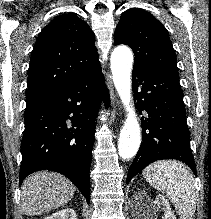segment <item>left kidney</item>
<instances>
[{"label": "left kidney", "instance_id": "1", "mask_svg": "<svg viewBox=\"0 0 211 219\" xmlns=\"http://www.w3.org/2000/svg\"><path fill=\"white\" fill-rule=\"evenodd\" d=\"M140 196L142 198H148V196L143 193ZM161 210L164 212V219H176L174 213L170 208L168 200L160 194L153 202H151L150 206H148L147 212L145 214V219H157L156 213Z\"/></svg>", "mask_w": 211, "mask_h": 219}]
</instances>
